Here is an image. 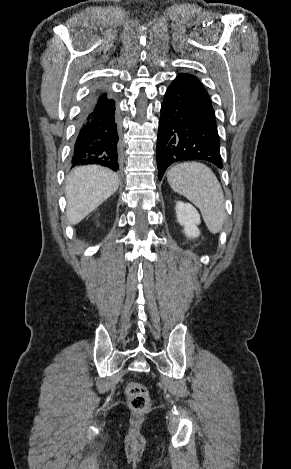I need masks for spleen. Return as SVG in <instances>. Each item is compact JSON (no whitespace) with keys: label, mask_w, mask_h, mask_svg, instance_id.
Segmentation results:
<instances>
[{"label":"spleen","mask_w":291,"mask_h":469,"mask_svg":"<svg viewBox=\"0 0 291 469\" xmlns=\"http://www.w3.org/2000/svg\"><path fill=\"white\" fill-rule=\"evenodd\" d=\"M167 180L175 192L199 208L211 233L222 230L226 217L224 194L209 167L200 162L177 164L168 170Z\"/></svg>","instance_id":"1"}]
</instances>
